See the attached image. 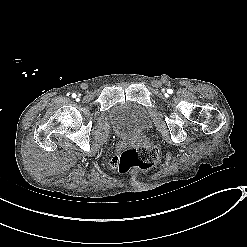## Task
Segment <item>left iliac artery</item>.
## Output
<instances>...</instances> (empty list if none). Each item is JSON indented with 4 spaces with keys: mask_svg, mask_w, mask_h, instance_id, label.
Here are the masks:
<instances>
[{
    "mask_svg": "<svg viewBox=\"0 0 247 247\" xmlns=\"http://www.w3.org/2000/svg\"><path fill=\"white\" fill-rule=\"evenodd\" d=\"M168 92H169V93H171V92H172V90H171V89H168Z\"/></svg>",
    "mask_w": 247,
    "mask_h": 247,
    "instance_id": "obj_1",
    "label": "left iliac artery"
}]
</instances>
